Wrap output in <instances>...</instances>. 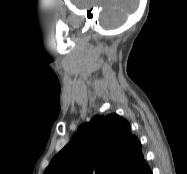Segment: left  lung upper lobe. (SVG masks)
<instances>
[{
    "label": "left lung upper lobe",
    "instance_id": "1",
    "mask_svg": "<svg viewBox=\"0 0 187 174\" xmlns=\"http://www.w3.org/2000/svg\"><path fill=\"white\" fill-rule=\"evenodd\" d=\"M139 163L147 164L141 144L127 120L114 113L81 125L44 174H131Z\"/></svg>",
    "mask_w": 187,
    "mask_h": 174
}]
</instances>
